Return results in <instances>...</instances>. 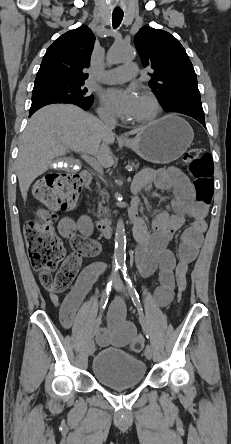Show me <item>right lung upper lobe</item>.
Listing matches in <instances>:
<instances>
[{
	"mask_svg": "<svg viewBox=\"0 0 231 444\" xmlns=\"http://www.w3.org/2000/svg\"><path fill=\"white\" fill-rule=\"evenodd\" d=\"M95 37L85 25L60 36L47 49L34 87L52 83H83L88 74Z\"/></svg>",
	"mask_w": 231,
	"mask_h": 444,
	"instance_id": "cb5924a9",
	"label": "right lung upper lobe"
}]
</instances>
